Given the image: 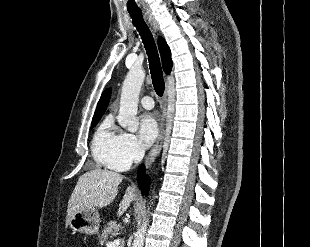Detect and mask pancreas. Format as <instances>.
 Wrapping results in <instances>:
<instances>
[{"mask_svg":"<svg viewBox=\"0 0 310 247\" xmlns=\"http://www.w3.org/2000/svg\"><path fill=\"white\" fill-rule=\"evenodd\" d=\"M120 230V225L117 224L115 221H111L107 224V226L102 231V234L100 236V242L101 244H107L108 243V237H113L118 235Z\"/></svg>","mask_w":310,"mask_h":247,"instance_id":"cf45deb5","label":"pancreas"}]
</instances>
